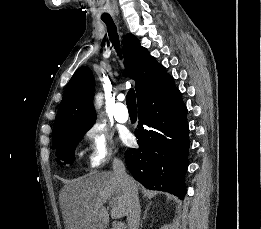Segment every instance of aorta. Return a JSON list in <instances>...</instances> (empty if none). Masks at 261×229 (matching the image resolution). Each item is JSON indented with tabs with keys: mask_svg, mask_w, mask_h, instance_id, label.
<instances>
[{
	"mask_svg": "<svg viewBox=\"0 0 261 229\" xmlns=\"http://www.w3.org/2000/svg\"><path fill=\"white\" fill-rule=\"evenodd\" d=\"M95 104H96V108H100V106H102V104H103V94H102V92H98V94H96Z\"/></svg>",
	"mask_w": 261,
	"mask_h": 229,
	"instance_id": "762f6f07",
	"label": "aorta"
}]
</instances>
